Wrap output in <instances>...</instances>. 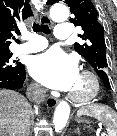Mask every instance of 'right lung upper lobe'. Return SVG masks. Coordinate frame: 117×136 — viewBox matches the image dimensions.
<instances>
[{
  "label": "right lung upper lobe",
  "mask_w": 117,
  "mask_h": 136,
  "mask_svg": "<svg viewBox=\"0 0 117 136\" xmlns=\"http://www.w3.org/2000/svg\"><path fill=\"white\" fill-rule=\"evenodd\" d=\"M30 16L29 0H0V53L10 52V40L20 35L19 23Z\"/></svg>",
  "instance_id": "obj_1"
}]
</instances>
